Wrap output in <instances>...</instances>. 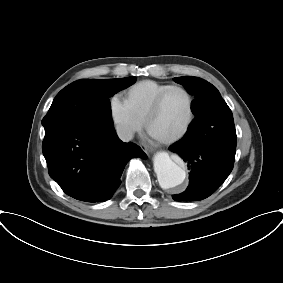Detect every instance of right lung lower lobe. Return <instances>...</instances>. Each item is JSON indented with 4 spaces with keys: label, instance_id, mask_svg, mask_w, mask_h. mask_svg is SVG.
<instances>
[{
    "label": "right lung lower lobe",
    "instance_id": "98d812e1",
    "mask_svg": "<svg viewBox=\"0 0 283 283\" xmlns=\"http://www.w3.org/2000/svg\"><path fill=\"white\" fill-rule=\"evenodd\" d=\"M42 151L50 177L67 195L85 202L110 199L127 162L146 158L139 146L122 142L114 126L98 124L62 123L47 128Z\"/></svg>",
    "mask_w": 283,
    "mask_h": 283
}]
</instances>
